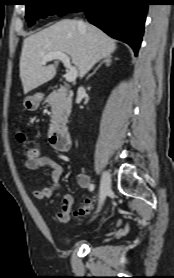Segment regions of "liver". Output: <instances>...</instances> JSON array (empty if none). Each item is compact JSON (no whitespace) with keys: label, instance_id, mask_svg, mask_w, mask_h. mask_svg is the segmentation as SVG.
I'll return each instance as SVG.
<instances>
[{"label":"liver","instance_id":"liver-1","mask_svg":"<svg viewBox=\"0 0 174 278\" xmlns=\"http://www.w3.org/2000/svg\"><path fill=\"white\" fill-rule=\"evenodd\" d=\"M78 22L63 19L24 40L19 64L24 94L55 76L58 63H42L49 53L68 55L78 68L80 78L99 60L111 57L117 48L116 41L94 25L84 23L85 27L80 28Z\"/></svg>","mask_w":174,"mask_h":278}]
</instances>
